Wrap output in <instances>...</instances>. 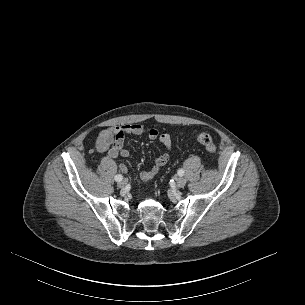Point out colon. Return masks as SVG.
Listing matches in <instances>:
<instances>
[{
	"label": "colon",
	"instance_id": "5ec220e1",
	"mask_svg": "<svg viewBox=\"0 0 305 305\" xmlns=\"http://www.w3.org/2000/svg\"><path fill=\"white\" fill-rule=\"evenodd\" d=\"M196 139L199 143H201L206 149L207 151H209L210 153H214L216 151V145L212 139V137L207 134V133H198L196 135Z\"/></svg>",
	"mask_w": 305,
	"mask_h": 305
}]
</instances>
